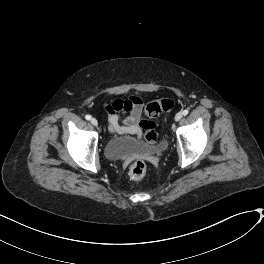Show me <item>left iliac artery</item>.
Masks as SVG:
<instances>
[{"label":"left iliac artery","mask_w":264,"mask_h":264,"mask_svg":"<svg viewBox=\"0 0 264 264\" xmlns=\"http://www.w3.org/2000/svg\"><path fill=\"white\" fill-rule=\"evenodd\" d=\"M188 110L187 109H185L184 111H183V115H187L188 114Z\"/></svg>","instance_id":"obj_1"}]
</instances>
